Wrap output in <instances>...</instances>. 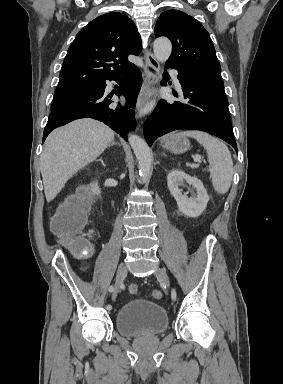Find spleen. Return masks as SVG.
I'll return each mask as SVG.
<instances>
[{
  "instance_id": "spleen-1",
  "label": "spleen",
  "mask_w": 283,
  "mask_h": 384,
  "mask_svg": "<svg viewBox=\"0 0 283 384\" xmlns=\"http://www.w3.org/2000/svg\"><path fill=\"white\" fill-rule=\"evenodd\" d=\"M185 136L195 138L207 150L210 164L208 172H210L212 186L217 194H226L233 178V162L227 146L205 132H179V134H175V138H185Z\"/></svg>"
}]
</instances>
